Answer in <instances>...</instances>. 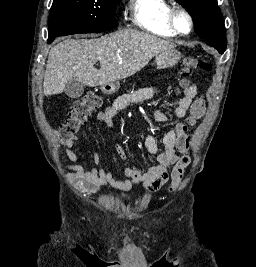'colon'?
I'll use <instances>...</instances> for the list:
<instances>
[{
	"mask_svg": "<svg viewBox=\"0 0 256 267\" xmlns=\"http://www.w3.org/2000/svg\"><path fill=\"white\" fill-rule=\"evenodd\" d=\"M197 66L198 62L193 57H185L182 60L181 75L185 86H190L188 80ZM200 67L206 72L211 70V65L206 61L201 62ZM101 104L102 98L96 93H89L83 99L75 102L71 107L68 118L62 122L60 126V138L66 140L75 136L79 129L87 122L91 114L95 112ZM205 110L206 100L204 97L198 96L192 102L186 118L177 124V148L180 150L182 157L173 168L172 183L170 185L171 190L178 188L183 174L190 163L188 132L202 119Z\"/></svg>",
	"mask_w": 256,
	"mask_h": 267,
	"instance_id": "5ec220e1",
	"label": "colon"
}]
</instances>
